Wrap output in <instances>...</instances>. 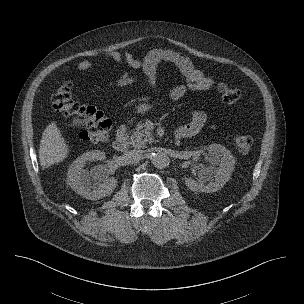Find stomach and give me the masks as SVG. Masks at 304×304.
<instances>
[{"label": "stomach", "mask_w": 304, "mask_h": 304, "mask_svg": "<svg viewBox=\"0 0 304 304\" xmlns=\"http://www.w3.org/2000/svg\"><path fill=\"white\" fill-rule=\"evenodd\" d=\"M151 108H152V106L150 104H148V103L139 104L136 107V112L138 114H143V113L149 111Z\"/></svg>", "instance_id": "stomach-1"}]
</instances>
